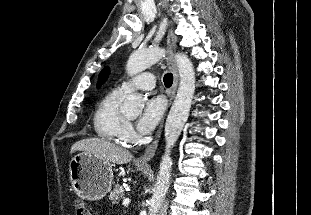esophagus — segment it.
I'll use <instances>...</instances> for the list:
<instances>
[{
	"label": "esophagus",
	"instance_id": "obj_1",
	"mask_svg": "<svg viewBox=\"0 0 311 215\" xmlns=\"http://www.w3.org/2000/svg\"><path fill=\"white\" fill-rule=\"evenodd\" d=\"M167 43H168V48L170 51V56L168 58V65L174 77L171 94H170V102H171L175 96L177 86H178V81H179L178 70H177V66H176V63L173 57V52L175 51V48H176V38L172 30L168 31ZM162 128H163V123H161L158 129L155 140L146 148L144 154L136 159L137 165L148 166L149 161L154 157L155 152L157 150Z\"/></svg>",
	"mask_w": 311,
	"mask_h": 215
}]
</instances>
